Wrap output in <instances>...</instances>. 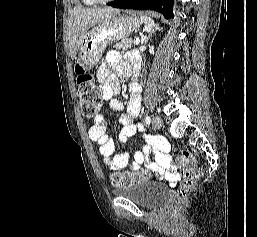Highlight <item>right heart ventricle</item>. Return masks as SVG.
Returning <instances> with one entry per match:
<instances>
[{
	"instance_id": "e07e8e85",
	"label": "right heart ventricle",
	"mask_w": 257,
	"mask_h": 237,
	"mask_svg": "<svg viewBox=\"0 0 257 237\" xmlns=\"http://www.w3.org/2000/svg\"><path fill=\"white\" fill-rule=\"evenodd\" d=\"M83 4L87 5V6H93L97 4L96 0H82Z\"/></svg>"
}]
</instances>
